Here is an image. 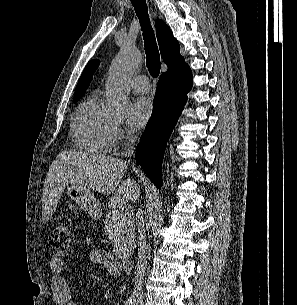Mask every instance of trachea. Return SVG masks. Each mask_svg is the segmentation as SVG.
Listing matches in <instances>:
<instances>
[{
	"mask_svg": "<svg viewBox=\"0 0 297 305\" xmlns=\"http://www.w3.org/2000/svg\"><path fill=\"white\" fill-rule=\"evenodd\" d=\"M136 15L139 18L143 31L144 46L146 53V65L152 77H158L160 73V55L153 29L150 25L148 8L145 0H131Z\"/></svg>",
	"mask_w": 297,
	"mask_h": 305,
	"instance_id": "3493384b",
	"label": "trachea"
}]
</instances>
